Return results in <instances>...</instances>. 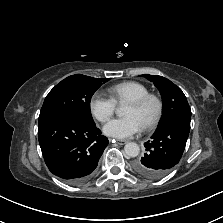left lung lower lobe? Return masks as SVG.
Listing matches in <instances>:
<instances>
[{
	"label": "left lung lower lobe",
	"instance_id": "left-lung-lower-lobe-1",
	"mask_svg": "<svg viewBox=\"0 0 223 223\" xmlns=\"http://www.w3.org/2000/svg\"><path fill=\"white\" fill-rule=\"evenodd\" d=\"M190 126L182 122L169 123L144 143L146 153L133 163L134 171L147 179H159L176 166L184 152Z\"/></svg>",
	"mask_w": 223,
	"mask_h": 223
}]
</instances>
